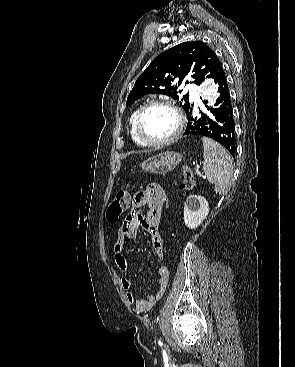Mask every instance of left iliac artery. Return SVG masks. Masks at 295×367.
I'll use <instances>...</instances> for the list:
<instances>
[{
  "instance_id": "obj_1",
  "label": "left iliac artery",
  "mask_w": 295,
  "mask_h": 367,
  "mask_svg": "<svg viewBox=\"0 0 295 367\" xmlns=\"http://www.w3.org/2000/svg\"><path fill=\"white\" fill-rule=\"evenodd\" d=\"M159 345L163 346V342L161 340H159Z\"/></svg>"
}]
</instances>
